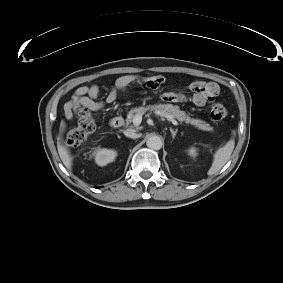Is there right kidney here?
Wrapping results in <instances>:
<instances>
[{
    "instance_id": "right-kidney-1",
    "label": "right kidney",
    "mask_w": 283,
    "mask_h": 283,
    "mask_svg": "<svg viewBox=\"0 0 283 283\" xmlns=\"http://www.w3.org/2000/svg\"><path fill=\"white\" fill-rule=\"evenodd\" d=\"M117 153L110 149H98L94 152L95 161L99 166H105L113 162Z\"/></svg>"
}]
</instances>
